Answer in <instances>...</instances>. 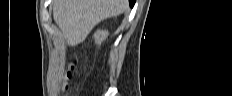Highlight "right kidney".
I'll use <instances>...</instances> for the list:
<instances>
[{
    "label": "right kidney",
    "instance_id": "obj_1",
    "mask_svg": "<svg viewBox=\"0 0 232 96\" xmlns=\"http://www.w3.org/2000/svg\"><path fill=\"white\" fill-rule=\"evenodd\" d=\"M107 36H108V32L107 31H101V30H98L94 34L95 41L98 44H100L104 39H106Z\"/></svg>",
    "mask_w": 232,
    "mask_h": 96
}]
</instances>
